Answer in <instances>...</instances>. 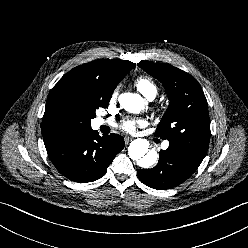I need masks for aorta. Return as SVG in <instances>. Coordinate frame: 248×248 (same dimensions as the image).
<instances>
[{
    "instance_id": "obj_1",
    "label": "aorta",
    "mask_w": 248,
    "mask_h": 248,
    "mask_svg": "<svg viewBox=\"0 0 248 248\" xmlns=\"http://www.w3.org/2000/svg\"><path fill=\"white\" fill-rule=\"evenodd\" d=\"M119 103L130 113H139L144 107V100L139 94L123 93L119 96ZM149 142L146 139H135L130 143L128 154L132 160L143 168L152 167L157 161V152L149 150Z\"/></svg>"
}]
</instances>
